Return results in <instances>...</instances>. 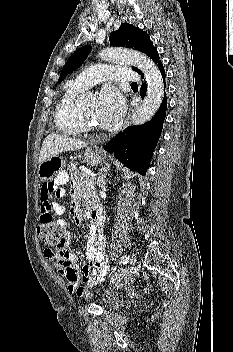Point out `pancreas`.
Returning a JSON list of instances; mask_svg holds the SVG:
<instances>
[{"label":"pancreas","mask_w":233,"mask_h":352,"mask_svg":"<svg viewBox=\"0 0 233 352\" xmlns=\"http://www.w3.org/2000/svg\"><path fill=\"white\" fill-rule=\"evenodd\" d=\"M69 174L72 180L76 181H90L94 183L93 178H89L87 174L77 169V163L72 162L68 165Z\"/></svg>","instance_id":"obj_1"}]
</instances>
